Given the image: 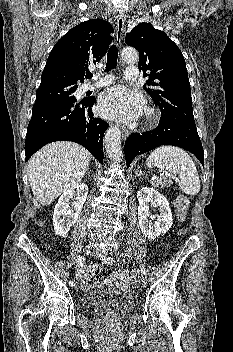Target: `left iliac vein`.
<instances>
[{
    "instance_id": "left-iliac-vein-1",
    "label": "left iliac vein",
    "mask_w": 233,
    "mask_h": 352,
    "mask_svg": "<svg viewBox=\"0 0 233 352\" xmlns=\"http://www.w3.org/2000/svg\"><path fill=\"white\" fill-rule=\"evenodd\" d=\"M105 253H106V250L101 247H97L94 251L95 256L100 257V258H103ZM146 284H147L146 278H142L140 281L141 287H146Z\"/></svg>"
}]
</instances>
